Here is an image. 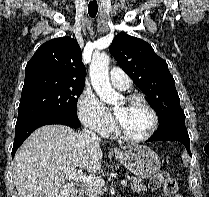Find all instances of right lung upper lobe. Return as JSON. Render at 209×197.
I'll list each match as a JSON object with an SVG mask.
<instances>
[{
  "label": "right lung upper lobe",
  "mask_w": 209,
  "mask_h": 197,
  "mask_svg": "<svg viewBox=\"0 0 209 197\" xmlns=\"http://www.w3.org/2000/svg\"><path fill=\"white\" fill-rule=\"evenodd\" d=\"M36 80L85 84V67L77 41L61 37L42 44L25 68L24 84Z\"/></svg>",
  "instance_id": "obj_1"
}]
</instances>
